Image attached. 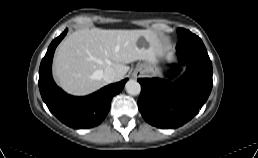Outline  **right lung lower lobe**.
Instances as JSON below:
<instances>
[{
    "label": "right lung lower lobe",
    "instance_id": "1",
    "mask_svg": "<svg viewBox=\"0 0 258 158\" xmlns=\"http://www.w3.org/2000/svg\"><path fill=\"white\" fill-rule=\"evenodd\" d=\"M67 29L54 39L39 68V89L47 107L61 122L73 128H91L100 124L107 116L112 98L121 92L126 81L108 85L85 96L74 97L62 91L53 81L51 65L54 51L67 33Z\"/></svg>",
    "mask_w": 258,
    "mask_h": 158
}]
</instances>
